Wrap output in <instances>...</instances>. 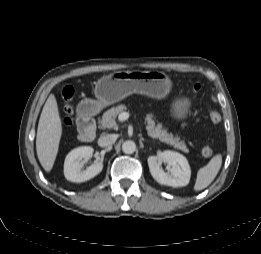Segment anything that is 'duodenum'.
<instances>
[{"mask_svg": "<svg viewBox=\"0 0 261 254\" xmlns=\"http://www.w3.org/2000/svg\"><path fill=\"white\" fill-rule=\"evenodd\" d=\"M96 113L95 107L87 104H82L79 108L77 127L79 130V138L83 142H91L96 137Z\"/></svg>", "mask_w": 261, "mask_h": 254, "instance_id": "obj_1", "label": "duodenum"}]
</instances>
